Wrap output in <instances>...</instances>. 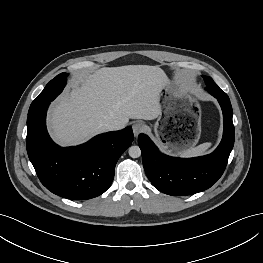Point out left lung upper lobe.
<instances>
[{
    "label": "left lung upper lobe",
    "mask_w": 263,
    "mask_h": 263,
    "mask_svg": "<svg viewBox=\"0 0 263 263\" xmlns=\"http://www.w3.org/2000/svg\"><path fill=\"white\" fill-rule=\"evenodd\" d=\"M203 78L206 81L207 87L206 89L208 90V92H213V91H220L221 89L217 86V84L213 81V79L211 77H206L203 76Z\"/></svg>",
    "instance_id": "5c2ea615"
}]
</instances>
